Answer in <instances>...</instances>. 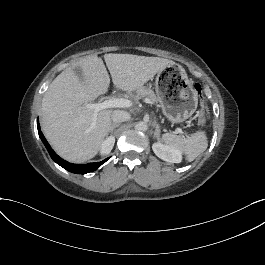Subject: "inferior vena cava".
I'll return each instance as SVG.
<instances>
[{
    "label": "inferior vena cava",
    "mask_w": 265,
    "mask_h": 265,
    "mask_svg": "<svg viewBox=\"0 0 265 265\" xmlns=\"http://www.w3.org/2000/svg\"><path fill=\"white\" fill-rule=\"evenodd\" d=\"M113 123H121L130 119V114L123 110H115L111 115Z\"/></svg>",
    "instance_id": "1"
}]
</instances>
